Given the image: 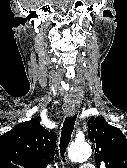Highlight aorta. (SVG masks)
I'll use <instances>...</instances> for the list:
<instances>
[{"label":"aorta","mask_w":127,"mask_h":168,"mask_svg":"<svg viewBox=\"0 0 127 168\" xmlns=\"http://www.w3.org/2000/svg\"><path fill=\"white\" fill-rule=\"evenodd\" d=\"M92 150L87 143H75L71 145L68 156L74 162L87 160L91 156Z\"/></svg>","instance_id":"1"}]
</instances>
